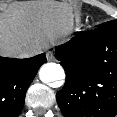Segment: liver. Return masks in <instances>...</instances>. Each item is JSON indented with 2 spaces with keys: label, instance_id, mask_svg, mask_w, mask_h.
I'll list each match as a JSON object with an SVG mask.
<instances>
[{
  "label": "liver",
  "instance_id": "obj_1",
  "mask_svg": "<svg viewBox=\"0 0 117 117\" xmlns=\"http://www.w3.org/2000/svg\"><path fill=\"white\" fill-rule=\"evenodd\" d=\"M0 12V54L20 57L66 36L73 26L71 7L41 1L4 5Z\"/></svg>",
  "mask_w": 117,
  "mask_h": 117
}]
</instances>
